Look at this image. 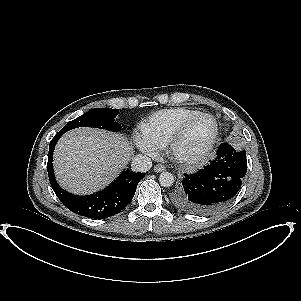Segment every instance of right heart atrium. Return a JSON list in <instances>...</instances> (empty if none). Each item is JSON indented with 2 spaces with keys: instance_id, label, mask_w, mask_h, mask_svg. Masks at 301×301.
<instances>
[{
  "instance_id": "1",
  "label": "right heart atrium",
  "mask_w": 301,
  "mask_h": 301,
  "mask_svg": "<svg viewBox=\"0 0 301 301\" xmlns=\"http://www.w3.org/2000/svg\"><path fill=\"white\" fill-rule=\"evenodd\" d=\"M134 143L146 155L154 156L158 153V147L142 134L136 133L134 135Z\"/></svg>"
}]
</instances>
